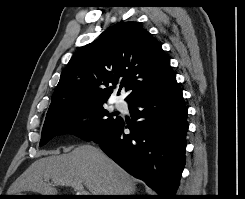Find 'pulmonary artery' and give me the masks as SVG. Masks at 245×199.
<instances>
[{"label": "pulmonary artery", "mask_w": 245, "mask_h": 199, "mask_svg": "<svg viewBox=\"0 0 245 199\" xmlns=\"http://www.w3.org/2000/svg\"><path fill=\"white\" fill-rule=\"evenodd\" d=\"M114 106L117 109H122L124 107V103H123V101H121V100L118 99V100L115 101Z\"/></svg>", "instance_id": "1"}]
</instances>
